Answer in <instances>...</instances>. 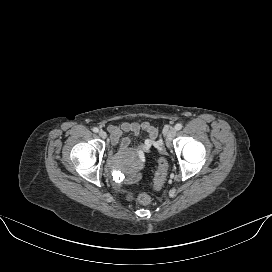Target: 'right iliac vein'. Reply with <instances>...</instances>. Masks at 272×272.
<instances>
[{
  "label": "right iliac vein",
  "instance_id": "obj_1",
  "mask_svg": "<svg viewBox=\"0 0 272 272\" xmlns=\"http://www.w3.org/2000/svg\"><path fill=\"white\" fill-rule=\"evenodd\" d=\"M99 136H100L101 138L105 139V138L107 137V134H106L105 131L101 130V131H99Z\"/></svg>",
  "mask_w": 272,
  "mask_h": 272
}]
</instances>
